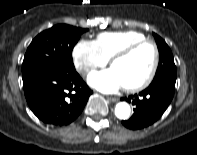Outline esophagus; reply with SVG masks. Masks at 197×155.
I'll use <instances>...</instances> for the list:
<instances>
[{
    "label": "esophagus",
    "instance_id": "esophagus-1",
    "mask_svg": "<svg viewBox=\"0 0 197 155\" xmlns=\"http://www.w3.org/2000/svg\"><path fill=\"white\" fill-rule=\"evenodd\" d=\"M106 98L110 102H117L118 101V98H116V97H106Z\"/></svg>",
    "mask_w": 197,
    "mask_h": 155
}]
</instances>
